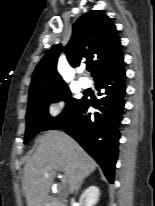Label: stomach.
<instances>
[{"label":"stomach","mask_w":155,"mask_h":206,"mask_svg":"<svg viewBox=\"0 0 155 206\" xmlns=\"http://www.w3.org/2000/svg\"><path fill=\"white\" fill-rule=\"evenodd\" d=\"M42 206H49V205H48L47 203L44 202V203L42 204Z\"/></svg>","instance_id":"1"}]
</instances>
